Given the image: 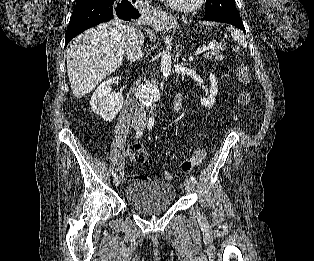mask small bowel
Instances as JSON below:
<instances>
[{
    "label": "small bowel",
    "mask_w": 314,
    "mask_h": 261,
    "mask_svg": "<svg viewBox=\"0 0 314 261\" xmlns=\"http://www.w3.org/2000/svg\"><path fill=\"white\" fill-rule=\"evenodd\" d=\"M139 155H146V152L143 148L142 145L140 144H135L130 146L127 151L123 154V156L120 159V165H121V171L122 174L125 176L124 173V164L128 161H135L137 162V158ZM162 174L167 180H172L173 176L170 172L167 170L163 169ZM128 180H135L137 177L135 175H126L125 176Z\"/></svg>",
    "instance_id": "obj_1"
}]
</instances>
